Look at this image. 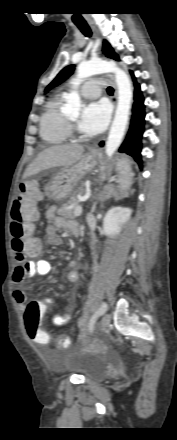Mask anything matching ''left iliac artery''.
<instances>
[{"mask_svg": "<svg viewBox=\"0 0 177 440\" xmlns=\"http://www.w3.org/2000/svg\"><path fill=\"white\" fill-rule=\"evenodd\" d=\"M106 310H107V304H106V303H103V304L101 305V307H100V308H99V309H98V310L92 315V317L90 318L88 328H89V331H90L91 333L93 332L94 324H95L97 318H98L99 316L103 315V314L105 313Z\"/></svg>", "mask_w": 177, "mask_h": 440, "instance_id": "44dca946", "label": "left iliac artery"}]
</instances>
